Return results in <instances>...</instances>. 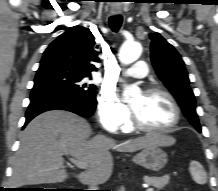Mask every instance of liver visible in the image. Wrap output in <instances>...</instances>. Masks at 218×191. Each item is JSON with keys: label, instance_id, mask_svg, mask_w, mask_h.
Segmentation results:
<instances>
[{"label": "liver", "instance_id": "liver-1", "mask_svg": "<svg viewBox=\"0 0 218 191\" xmlns=\"http://www.w3.org/2000/svg\"><path fill=\"white\" fill-rule=\"evenodd\" d=\"M88 122L67 111L53 110L34 118L23 131L20 147L13 161L12 186L59 183L66 180L63 154L87 163V170L76 175L82 183L96 176L98 183L106 182L112 174L110 149L135 152L151 145L172 146L176 140L164 134L117 143L104 135H91ZM16 188V187H15Z\"/></svg>", "mask_w": 218, "mask_h": 191}]
</instances>
